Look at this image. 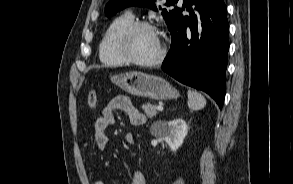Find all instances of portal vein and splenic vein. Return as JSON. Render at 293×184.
I'll use <instances>...</instances> for the list:
<instances>
[{"label":"portal vein and splenic vein","instance_id":"18ae733b","mask_svg":"<svg viewBox=\"0 0 293 184\" xmlns=\"http://www.w3.org/2000/svg\"><path fill=\"white\" fill-rule=\"evenodd\" d=\"M157 110L158 111H163V107L162 106H157Z\"/></svg>","mask_w":293,"mask_h":184}]
</instances>
